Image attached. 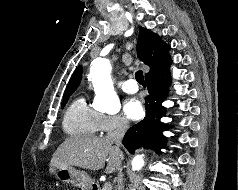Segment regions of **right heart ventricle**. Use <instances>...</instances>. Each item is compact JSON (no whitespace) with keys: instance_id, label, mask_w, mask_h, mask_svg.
Returning <instances> with one entry per match:
<instances>
[{"instance_id":"obj_1","label":"right heart ventricle","mask_w":238,"mask_h":190,"mask_svg":"<svg viewBox=\"0 0 238 190\" xmlns=\"http://www.w3.org/2000/svg\"><path fill=\"white\" fill-rule=\"evenodd\" d=\"M62 124L71 136H94L100 132V113L91 108L85 98L77 97L67 108Z\"/></svg>"}]
</instances>
